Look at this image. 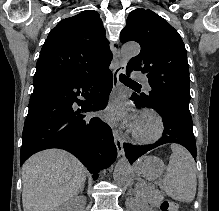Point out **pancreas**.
<instances>
[{"mask_svg":"<svg viewBox=\"0 0 219 211\" xmlns=\"http://www.w3.org/2000/svg\"><path fill=\"white\" fill-rule=\"evenodd\" d=\"M136 187H140V186H136ZM143 193H145V195H143V199H146V201H149V203H151V205H158V203H160V201H162L161 197V193L160 191H158V189H153V187H147V188H143ZM140 196L138 197L139 199H141V193L139 194Z\"/></svg>","mask_w":219,"mask_h":211,"instance_id":"1","label":"pancreas"}]
</instances>
